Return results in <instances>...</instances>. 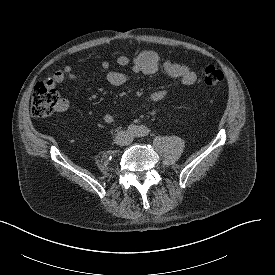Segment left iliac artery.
I'll return each mask as SVG.
<instances>
[{"label": "left iliac artery", "instance_id": "44dca946", "mask_svg": "<svg viewBox=\"0 0 275 275\" xmlns=\"http://www.w3.org/2000/svg\"><path fill=\"white\" fill-rule=\"evenodd\" d=\"M149 132H150V130H149L146 126H143V125H142V126H139V127H138L137 135H138L139 137H143V136L148 135Z\"/></svg>", "mask_w": 275, "mask_h": 275}]
</instances>
